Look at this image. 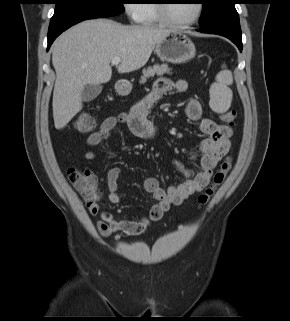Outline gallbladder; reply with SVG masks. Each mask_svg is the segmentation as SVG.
I'll use <instances>...</instances> for the list:
<instances>
[{"label": "gallbladder", "instance_id": "bac80fb5", "mask_svg": "<svg viewBox=\"0 0 290 321\" xmlns=\"http://www.w3.org/2000/svg\"><path fill=\"white\" fill-rule=\"evenodd\" d=\"M101 91V85H86L81 93V99L84 102L92 101L97 98Z\"/></svg>", "mask_w": 290, "mask_h": 321}]
</instances>
